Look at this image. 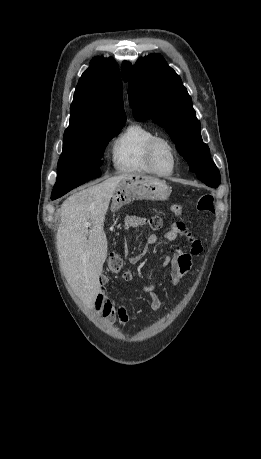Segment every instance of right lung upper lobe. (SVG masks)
Here are the masks:
<instances>
[{
  "mask_svg": "<svg viewBox=\"0 0 261 459\" xmlns=\"http://www.w3.org/2000/svg\"><path fill=\"white\" fill-rule=\"evenodd\" d=\"M122 90L118 64L112 58H94L79 79L64 139L97 126L125 123Z\"/></svg>",
  "mask_w": 261,
  "mask_h": 459,
  "instance_id": "obj_1",
  "label": "right lung upper lobe"
}]
</instances>
